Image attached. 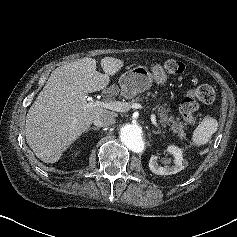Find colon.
I'll return each mask as SVG.
<instances>
[{"mask_svg":"<svg viewBox=\"0 0 237 237\" xmlns=\"http://www.w3.org/2000/svg\"><path fill=\"white\" fill-rule=\"evenodd\" d=\"M165 70L173 75H184L186 72L185 65L177 60H168L165 62ZM216 97L215 90L209 85H200L195 89H191L183 97L180 102V113L183 120L188 125H195L197 118L195 116L198 110V101L206 104L214 102Z\"/></svg>","mask_w":237,"mask_h":237,"instance_id":"5ec220e1","label":"colon"}]
</instances>
